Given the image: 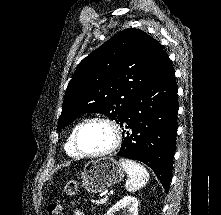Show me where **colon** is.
I'll return each mask as SVG.
<instances>
[{"mask_svg":"<svg viewBox=\"0 0 221 215\" xmlns=\"http://www.w3.org/2000/svg\"><path fill=\"white\" fill-rule=\"evenodd\" d=\"M77 190L76 182L72 179L64 183V192L67 195H74ZM64 210L61 204L52 203L48 206V215H63Z\"/></svg>","mask_w":221,"mask_h":215,"instance_id":"obj_1","label":"colon"}]
</instances>
